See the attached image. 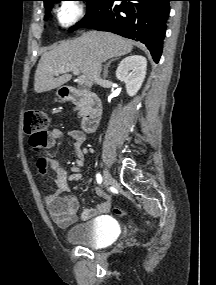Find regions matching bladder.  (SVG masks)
Here are the masks:
<instances>
[{"label":"bladder","instance_id":"obj_1","mask_svg":"<svg viewBox=\"0 0 216 285\" xmlns=\"http://www.w3.org/2000/svg\"><path fill=\"white\" fill-rule=\"evenodd\" d=\"M118 236L116 223L108 216L77 223L66 232V240L92 249L104 248Z\"/></svg>","mask_w":216,"mask_h":285}]
</instances>
